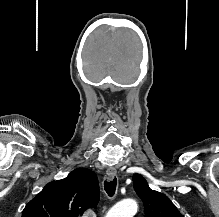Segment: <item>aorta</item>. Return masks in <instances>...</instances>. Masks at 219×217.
<instances>
[{"mask_svg": "<svg viewBox=\"0 0 219 217\" xmlns=\"http://www.w3.org/2000/svg\"><path fill=\"white\" fill-rule=\"evenodd\" d=\"M137 203L133 199H127L117 203L105 217H134L137 212Z\"/></svg>", "mask_w": 219, "mask_h": 217, "instance_id": "obj_1", "label": "aorta"}]
</instances>
